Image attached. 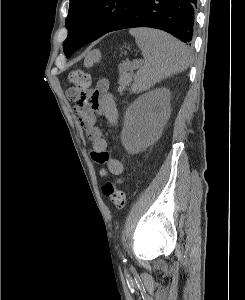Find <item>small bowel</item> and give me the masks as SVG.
Instances as JSON below:
<instances>
[{"label":"small bowel","instance_id":"small-bowel-1","mask_svg":"<svg viewBox=\"0 0 245 300\" xmlns=\"http://www.w3.org/2000/svg\"><path fill=\"white\" fill-rule=\"evenodd\" d=\"M74 110L88 140L92 144V158L96 162L105 163L106 169L111 175L120 176L124 171L123 164L120 160L109 156L107 152L108 143L97 119L100 116L112 125L118 123L119 113L114 97L109 91L108 81L102 79L92 90L84 92L75 101ZM100 178L106 179L107 173L101 172Z\"/></svg>","mask_w":245,"mask_h":300}]
</instances>
